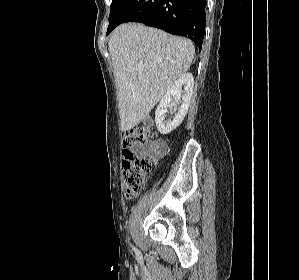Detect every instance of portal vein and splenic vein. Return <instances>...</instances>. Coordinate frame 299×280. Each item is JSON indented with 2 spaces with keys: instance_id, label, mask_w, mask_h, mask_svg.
<instances>
[{
  "instance_id": "obj_1",
  "label": "portal vein and splenic vein",
  "mask_w": 299,
  "mask_h": 280,
  "mask_svg": "<svg viewBox=\"0 0 299 280\" xmlns=\"http://www.w3.org/2000/svg\"><path fill=\"white\" fill-rule=\"evenodd\" d=\"M138 71L141 73V72H142V69L139 68Z\"/></svg>"
}]
</instances>
